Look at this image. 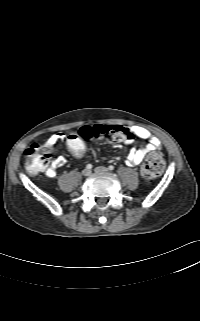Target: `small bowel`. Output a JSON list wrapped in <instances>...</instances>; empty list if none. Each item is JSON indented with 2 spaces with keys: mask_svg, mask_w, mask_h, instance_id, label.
<instances>
[{
  "mask_svg": "<svg viewBox=\"0 0 200 321\" xmlns=\"http://www.w3.org/2000/svg\"><path fill=\"white\" fill-rule=\"evenodd\" d=\"M131 132L136 137L146 140L147 144L144 147L136 148L132 147L126 157V163L129 166L139 165L149 153L157 150L161 141L158 137L151 134V132L140 126H133ZM69 136L64 133H55L49 136L45 142V146L48 148L54 147L58 142L65 141ZM66 164V159L63 156H58L53 159L48 167L43 169L45 175L49 178H54L57 174V170Z\"/></svg>",
  "mask_w": 200,
  "mask_h": 321,
  "instance_id": "obj_1",
  "label": "small bowel"
}]
</instances>
